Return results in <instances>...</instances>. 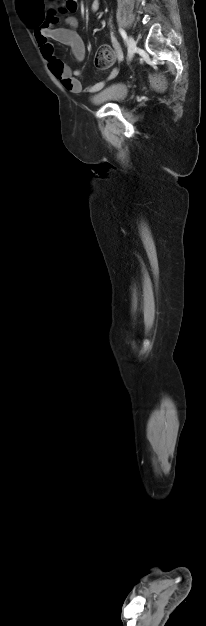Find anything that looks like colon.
Listing matches in <instances>:
<instances>
[{"mask_svg":"<svg viewBox=\"0 0 206 626\" xmlns=\"http://www.w3.org/2000/svg\"><path fill=\"white\" fill-rule=\"evenodd\" d=\"M27 19L28 17L26 20ZM115 57V51L111 46H101L95 58L96 67L101 70L108 69L113 64ZM152 83L157 88H162L164 86V80L160 76L152 77Z\"/></svg>","mask_w":206,"mask_h":626,"instance_id":"obj_1","label":"colon"}]
</instances>
